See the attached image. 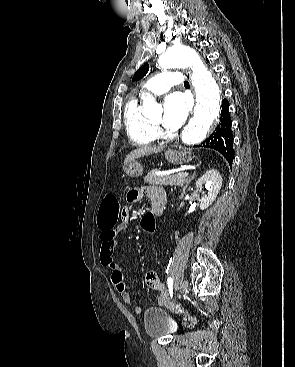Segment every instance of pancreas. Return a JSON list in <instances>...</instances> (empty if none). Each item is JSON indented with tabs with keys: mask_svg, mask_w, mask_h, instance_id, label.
<instances>
[{
	"mask_svg": "<svg viewBox=\"0 0 295 367\" xmlns=\"http://www.w3.org/2000/svg\"><path fill=\"white\" fill-rule=\"evenodd\" d=\"M187 181L188 178L179 174L155 175L150 173L144 177V182L150 185H184Z\"/></svg>",
	"mask_w": 295,
	"mask_h": 367,
	"instance_id": "1",
	"label": "pancreas"
}]
</instances>
